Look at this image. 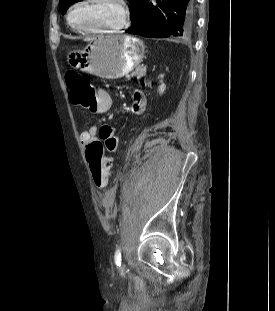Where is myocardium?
<instances>
[{
    "label": "myocardium",
    "mask_w": 275,
    "mask_h": 311,
    "mask_svg": "<svg viewBox=\"0 0 275 311\" xmlns=\"http://www.w3.org/2000/svg\"><path fill=\"white\" fill-rule=\"evenodd\" d=\"M90 0H77L75 1L67 10L65 19L68 26L77 32H84V33H109V32H116L123 29L128 22L129 19V8L125 2V0H108L117 5L119 9V19L116 23L111 25L99 26V27H78L72 24L70 20V16L72 11L78 7L79 5L88 2Z\"/></svg>",
    "instance_id": "f54148a6"
}]
</instances>
